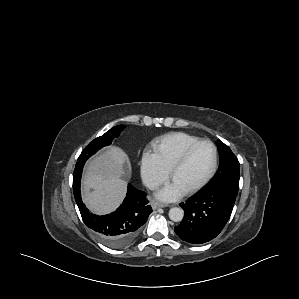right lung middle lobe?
Returning <instances> with one entry per match:
<instances>
[{"mask_svg": "<svg viewBox=\"0 0 299 299\" xmlns=\"http://www.w3.org/2000/svg\"><path fill=\"white\" fill-rule=\"evenodd\" d=\"M123 125H118L107 131L102 136L94 139L89 145L82 151L79 158H88L90 155L94 154L96 151L104 146L110 145L114 137L118 136L123 130Z\"/></svg>", "mask_w": 299, "mask_h": 299, "instance_id": "obj_1", "label": "right lung middle lobe"}]
</instances>
